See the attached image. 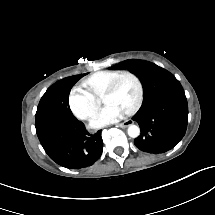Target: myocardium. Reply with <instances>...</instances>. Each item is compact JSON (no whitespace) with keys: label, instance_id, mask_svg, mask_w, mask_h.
I'll list each match as a JSON object with an SVG mask.
<instances>
[{"label":"myocardium","instance_id":"obj_1","mask_svg":"<svg viewBox=\"0 0 215 215\" xmlns=\"http://www.w3.org/2000/svg\"><path fill=\"white\" fill-rule=\"evenodd\" d=\"M122 79L129 80L133 86V95L130 103V108L126 109L127 115H132L135 109L139 108V104L142 96V87H141L140 80L138 79L137 76H135L130 72H120L119 74H115L113 76V79L105 87L106 94H111V91L114 88V85H116V82Z\"/></svg>","mask_w":215,"mask_h":215}]
</instances>
